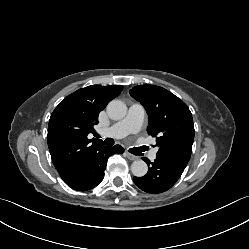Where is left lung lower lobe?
I'll list each match as a JSON object with an SVG mask.
<instances>
[{
    "mask_svg": "<svg viewBox=\"0 0 249 249\" xmlns=\"http://www.w3.org/2000/svg\"><path fill=\"white\" fill-rule=\"evenodd\" d=\"M148 163L149 160L144 158ZM185 167L156 158L143 177H133L135 184L147 193L157 194L170 189L183 173Z\"/></svg>",
    "mask_w": 249,
    "mask_h": 249,
    "instance_id": "left-lung-lower-lobe-1",
    "label": "left lung lower lobe"
}]
</instances>
